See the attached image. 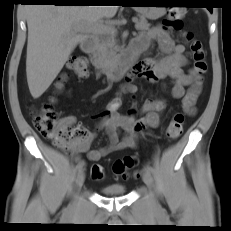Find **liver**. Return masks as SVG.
<instances>
[{"instance_id": "liver-1", "label": "liver", "mask_w": 231, "mask_h": 231, "mask_svg": "<svg viewBox=\"0 0 231 231\" xmlns=\"http://www.w3.org/2000/svg\"><path fill=\"white\" fill-rule=\"evenodd\" d=\"M118 6L25 7L28 43L26 75L29 91L39 98L57 77L70 54L103 18L115 16Z\"/></svg>"}]
</instances>
